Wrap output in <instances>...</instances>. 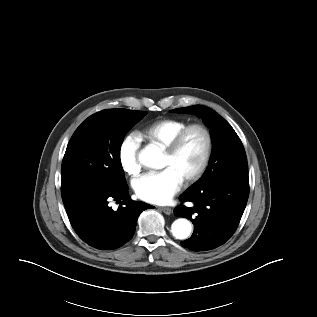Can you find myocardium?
Masks as SVG:
<instances>
[{"mask_svg":"<svg viewBox=\"0 0 317 317\" xmlns=\"http://www.w3.org/2000/svg\"><path fill=\"white\" fill-rule=\"evenodd\" d=\"M193 129H198L204 134L206 144H205L204 155L202 157V160L198 168L191 175L183 179L184 182L186 183H194L198 181L204 175L209 165L211 155H212V150H213V137H212V133L210 129L202 123L188 124L176 134V136L171 140L169 145L165 148V153L167 155L175 156L180 150L187 134Z\"/></svg>","mask_w":317,"mask_h":317,"instance_id":"myocardium-1","label":"myocardium"}]
</instances>
